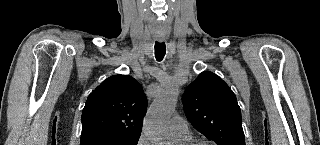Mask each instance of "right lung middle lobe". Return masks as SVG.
Here are the masks:
<instances>
[{"instance_id": "right-lung-middle-lobe-1", "label": "right lung middle lobe", "mask_w": 320, "mask_h": 145, "mask_svg": "<svg viewBox=\"0 0 320 145\" xmlns=\"http://www.w3.org/2000/svg\"><path fill=\"white\" fill-rule=\"evenodd\" d=\"M140 134H97L81 139L80 145H137Z\"/></svg>"}]
</instances>
